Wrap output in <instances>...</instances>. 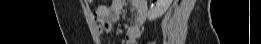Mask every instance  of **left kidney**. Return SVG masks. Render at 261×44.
<instances>
[{
    "mask_svg": "<svg viewBox=\"0 0 261 44\" xmlns=\"http://www.w3.org/2000/svg\"><path fill=\"white\" fill-rule=\"evenodd\" d=\"M172 0H157L154 7L148 11L149 21H153L161 17L170 7Z\"/></svg>",
    "mask_w": 261,
    "mask_h": 44,
    "instance_id": "obj_1",
    "label": "left kidney"
}]
</instances>
